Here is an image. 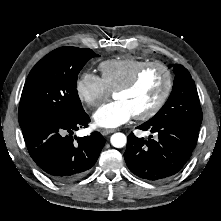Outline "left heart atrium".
Instances as JSON below:
<instances>
[{"label":"left heart atrium","mask_w":221,"mask_h":221,"mask_svg":"<svg viewBox=\"0 0 221 221\" xmlns=\"http://www.w3.org/2000/svg\"><path fill=\"white\" fill-rule=\"evenodd\" d=\"M134 116L128 104L120 99H115L102 105L94 113V122L98 127L115 128L126 123Z\"/></svg>","instance_id":"1"}]
</instances>
